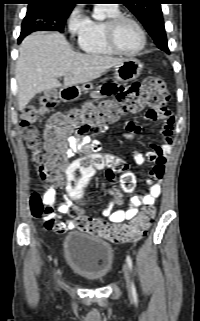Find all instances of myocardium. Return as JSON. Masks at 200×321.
<instances>
[{
  "label": "myocardium",
  "mask_w": 200,
  "mask_h": 321,
  "mask_svg": "<svg viewBox=\"0 0 200 321\" xmlns=\"http://www.w3.org/2000/svg\"><path fill=\"white\" fill-rule=\"evenodd\" d=\"M125 20L132 22L137 27V29L141 35V45L135 51L128 52V51L121 49L116 41L117 28L120 25V23ZM105 38H106V42H107L108 46L115 53L120 54V55H124V56L138 55L139 53H141L144 50V48L146 46V42H147L145 30L142 27V25L140 24V22L138 20H136L134 17H132L131 15L124 14V13H120L118 15H115L106 21Z\"/></svg>",
  "instance_id": "f54148a6"
}]
</instances>
